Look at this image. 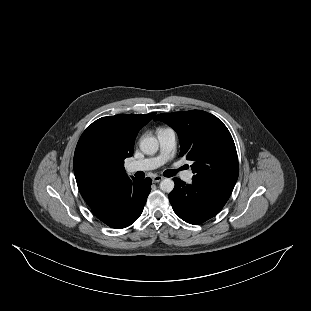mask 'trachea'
I'll use <instances>...</instances> for the list:
<instances>
[{
	"label": "trachea",
	"mask_w": 311,
	"mask_h": 311,
	"mask_svg": "<svg viewBox=\"0 0 311 311\" xmlns=\"http://www.w3.org/2000/svg\"><path fill=\"white\" fill-rule=\"evenodd\" d=\"M174 174H175L174 171H172V170H167L166 173H165V176L171 177V176H173Z\"/></svg>",
	"instance_id": "trachea-1"
}]
</instances>
